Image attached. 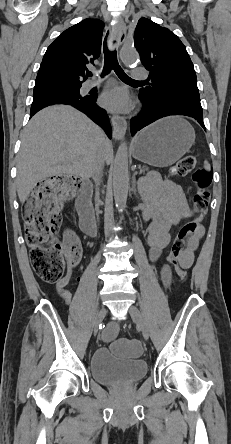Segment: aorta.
Instances as JSON below:
<instances>
[{
  "label": "aorta",
  "mask_w": 231,
  "mask_h": 444,
  "mask_svg": "<svg viewBox=\"0 0 231 444\" xmlns=\"http://www.w3.org/2000/svg\"><path fill=\"white\" fill-rule=\"evenodd\" d=\"M121 59L127 65L135 64L138 55L133 49H123ZM129 189L128 150L126 142L121 143L113 166V194L116 207L123 212L126 207Z\"/></svg>",
  "instance_id": "1"
}]
</instances>
